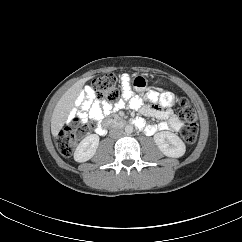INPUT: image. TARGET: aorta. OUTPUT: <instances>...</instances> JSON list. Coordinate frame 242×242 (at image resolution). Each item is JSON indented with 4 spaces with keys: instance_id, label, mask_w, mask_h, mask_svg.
<instances>
[{
    "instance_id": "1",
    "label": "aorta",
    "mask_w": 242,
    "mask_h": 242,
    "mask_svg": "<svg viewBox=\"0 0 242 242\" xmlns=\"http://www.w3.org/2000/svg\"><path fill=\"white\" fill-rule=\"evenodd\" d=\"M125 133H126V134H131V133H133V126H131V125H127V126L125 127Z\"/></svg>"
}]
</instances>
